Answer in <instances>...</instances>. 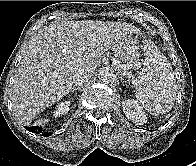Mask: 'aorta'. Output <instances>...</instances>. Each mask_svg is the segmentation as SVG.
<instances>
[{"instance_id":"762f6f07","label":"aorta","mask_w":196,"mask_h":166,"mask_svg":"<svg viewBox=\"0 0 196 166\" xmlns=\"http://www.w3.org/2000/svg\"><path fill=\"white\" fill-rule=\"evenodd\" d=\"M98 78L103 83H110L115 79L114 70L110 67H103L99 71Z\"/></svg>"}]
</instances>
